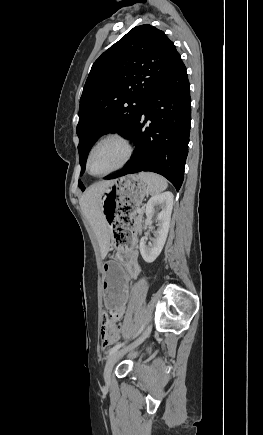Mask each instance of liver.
Masks as SVG:
<instances>
[{"label":"liver","mask_w":263,"mask_h":435,"mask_svg":"<svg viewBox=\"0 0 263 435\" xmlns=\"http://www.w3.org/2000/svg\"><path fill=\"white\" fill-rule=\"evenodd\" d=\"M113 180L100 181L89 187L80 198V207L98 240L104 259L110 247V231L100 205L101 196Z\"/></svg>","instance_id":"1"}]
</instances>
